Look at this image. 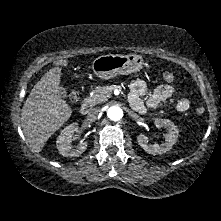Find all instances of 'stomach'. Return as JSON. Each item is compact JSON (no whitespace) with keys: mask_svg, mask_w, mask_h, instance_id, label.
I'll return each mask as SVG.
<instances>
[{"mask_svg":"<svg viewBox=\"0 0 221 221\" xmlns=\"http://www.w3.org/2000/svg\"><path fill=\"white\" fill-rule=\"evenodd\" d=\"M143 58L137 54L102 55L92 62V70L100 79H111L118 75L135 73L143 68Z\"/></svg>","mask_w":221,"mask_h":221,"instance_id":"1","label":"stomach"}]
</instances>
